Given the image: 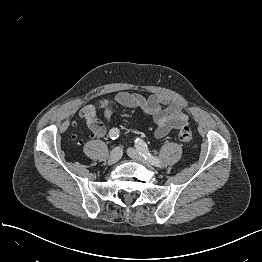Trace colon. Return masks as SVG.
Segmentation results:
<instances>
[{"label": "colon", "instance_id": "1", "mask_svg": "<svg viewBox=\"0 0 262 262\" xmlns=\"http://www.w3.org/2000/svg\"><path fill=\"white\" fill-rule=\"evenodd\" d=\"M192 139V131L189 127L184 126L178 132V140L183 143H188Z\"/></svg>", "mask_w": 262, "mask_h": 262}]
</instances>
